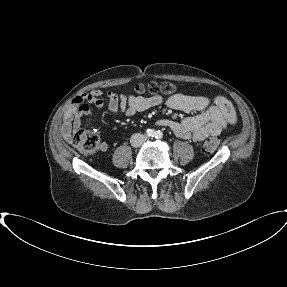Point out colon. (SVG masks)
<instances>
[{"mask_svg": "<svg viewBox=\"0 0 287 287\" xmlns=\"http://www.w3.org/2000/svg\"><path fill=\"white\" fill-rule=\"evenodd\" d=\"M138 95L149 94L151 96L173 95L176 87L170 82L156 83L152 82L147 85L141 84L134 88ZM72 144L84 154H93L100 149V141L96 134L90 131L77 130L72 136ZM219 145V139L216 137L208 138L203 150L207 154L213 153Z\"/></svg>", "mask_w": 287, "mask_h": 287, "instance_id": "1", "label": "colon"}]
</instances>
